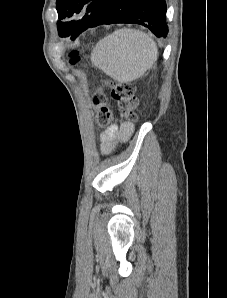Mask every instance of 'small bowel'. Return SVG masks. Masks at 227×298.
Returning a JSON list of instances; mask_svg holds the SVG:
<instances>
[{
  "label": "small bowel",
  "mask_w": 227,
  "mask_h": 298,
  "mask_svg": "<svg viewBox=\"0 0 227 298\" xmlns=\"http://www.w3.org/2000/svg\"><path fill=\"white\" fill-rule=\"evenodd\" d=\"M134 126L130 122H123L119 125L112 124L100 134V151L102 154H109L117 142H125L130 138Z\"/></svg>",
  "instance_id": "c3829d8e"
}]
</instances>
